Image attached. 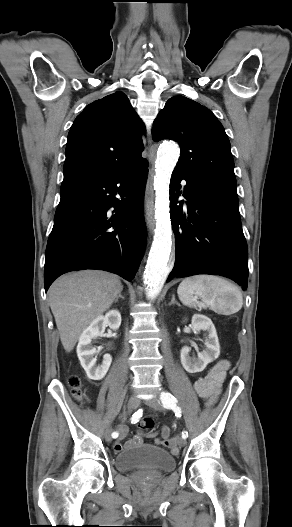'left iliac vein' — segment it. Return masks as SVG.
<instances>
[{"label": "left iliac vein", "mask_w": 292, "mask_h": 527, "mask_svg": "<svg viewBox=\"0 0 292 527\" xmlns=\"http://www.w3.org/2000/svg\"><path fill=\"white\" fill-rule=\"evenodd\" d=\"M147 405H149L150 407L154 408L155 410H159V411H162L163 410V406L159 400L158 397H153L149 400L146 401ZM178 444L179 446L183 447L186 445V440L184 438H180L178 440Z\"/></svg>", "instance_id": "obj_1"}]
</instances>
